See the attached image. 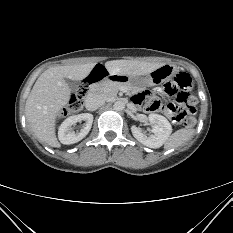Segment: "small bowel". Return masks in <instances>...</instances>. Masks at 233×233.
<instances>
[{"mask_svg":"<svg viewBox=\"0 0 233 233\" xmlns=\"http://www.w3.org/2000/svg\"><path fill=\"white\" fill-rule=\"evenodd\" d=\"M156 97H154V96H146L145 94H139V95H137L136 97H135V101L136 102H139V101H141V100H146V110L147 111H150L149 110V104L155 99ZM150 112H152V111H150Z\"/></svg>","mask_w":233,"mask_h":233,"instance_id":"obj_1","label":"small bowel"}]
</instances>
